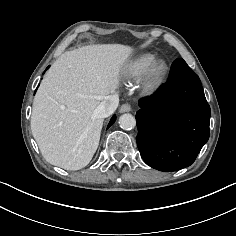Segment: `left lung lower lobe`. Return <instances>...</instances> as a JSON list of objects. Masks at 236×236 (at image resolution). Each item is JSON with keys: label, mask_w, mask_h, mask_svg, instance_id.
<instances>
[{"label": "left lung lower lobe", "mask_w": 236, "mask_h": 236, "mask_svg": "<svg viewBox=\"0 0 236 236\" xmlns=\"http://www.w3.org/2000/svg\"><path fill=\"white\" fill-rule=\"evenodd\" d=\"M138 149L160 171L190 166L209 139L210 106L197 74L179 58L166 84L139 102Z\"/></svg>", "instance_id": "left-lung-lower-lobe-1"}]
</instances>
